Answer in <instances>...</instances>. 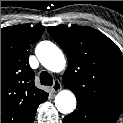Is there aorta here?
Returning a JSON list of instances; mask_svg holds the SVG:
<instances>
[{
  "instance_id": "obj_1",
  "label": "aorta",
  "mask_w": 123,
  "mask_h": 123,
  "mask_svg": "<svg viewBox=\"0 0 123 123\" xmlns=\"http://www.w3.org/2000/svg\"><path fill=\"white\" fill-rule=\"evenodd\" d=\"M41 64L52 72L65 69L66 61L62 51L50 41H42L36 47ZM55 106L62 114H70L76 108V97L70 90H62L55 97Z\"/></svg>"
}]
</instances>
